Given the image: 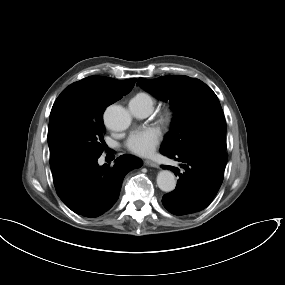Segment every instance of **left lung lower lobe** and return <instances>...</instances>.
I'll use <instances>...</instances> for the list:
<instances>
[{"label":"left lung lower lobe","instance_id":"1","mask_svg":"<svg viewBox=\"0 0 285 285\" xmlns=\"http://www.w3.org/2000/svg\"><path fill=\"white\" fill-rule=\"evenodd\" d=\"M161 153L181 162L184 169L180 172L173 166H162L179 175L175 190L162 198L164 207L177 216L190 215L206 208L222 184L228 158L226 151L201 147L171 154Z\"/></svg>","mask_w":285,"mask_h":285}]
</instances>
